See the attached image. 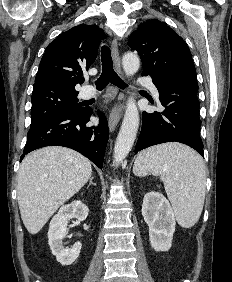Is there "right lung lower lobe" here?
I'll use <instances>...</instances> for the list:
<instances>
[{
    "mask_svg": "<svg viewBox=\"0 0 232 282\" xmlns=\"http://www.w3.org/2000/svg\"><path fill=\"white\" fill-rule=\"evenodd\" d=\"M91 114L90 108L78 113H61L31 127L23 153L45 146H65L80 152L102 168L109 135L108 123L105 115L98 111L99 126L87 127Z\"/></svg>",
    "mask_w": 232,
    "mask_h": 282,
    "instance_id": "98d812e1",
    "label": "right lung lower lobe"
}]
</instances>
